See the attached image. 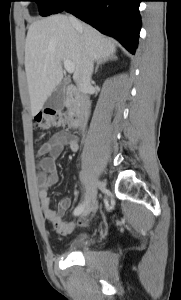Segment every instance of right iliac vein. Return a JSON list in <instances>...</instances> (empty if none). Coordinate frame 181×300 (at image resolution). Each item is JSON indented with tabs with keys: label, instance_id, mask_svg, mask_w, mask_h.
Returning a JSON list of instances; mask_svg holds the SVG:
<instances>
[{
	"label": "right iliac vein",
	"instance_id": "obj_1",
	"mask_svg": "<svg viewBox=\"0 0 181 300\" xmlns=\"http://www.w3.org/2000/svg\"><path fill=\"white\" fill-rule=\"evenodd\" d=\"M99 186H100V182L98 180H93L88 191L87 204L83 212V215H88L91 212H94L96 210L97 207L96 196H97V188Z\"/></svg>",
	"mask_w": 181,
	"mask_h": 300
}]
</instances>
